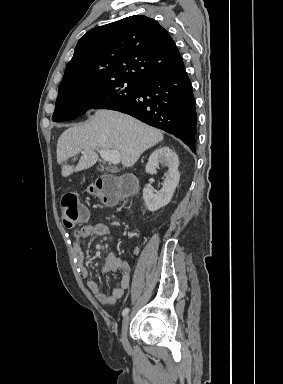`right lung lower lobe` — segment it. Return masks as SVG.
<instances>
[{
    "label": "right lung lower lobe",
    "mask_w": 283,
    "mask_h": 384,
    "mask_svg": "<svg viewBox=\"0 0 283 384\" xmlns=\"http://www.w3.org/2000/svg\"><path fill=\"white\" fill-rule=\"evenodd\" d=\"M109 109L173 134L196 152L195 99L185 67L141 83L135 98Z\"/></svg>",
    "instance_id": "1"
}]
</instances>
